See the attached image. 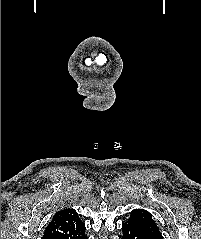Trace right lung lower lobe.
Returning <instances> with one entry per match:
<instances>
[{
	"label": "right lung lower lobe",
	"instance_id": "1",
	"mask_svg": "<svg viewBox=\"0 0 201 239\" xmlns=\"http://www.w3.org/2000/svg\"><path fill=\"white\" fill-rule=\"evenodd\" d=\"M82 239H86V236H85V234H84V236L82 237Z\"/></svg>",
	"mask_w": 201,
	"mask_h": 239
}]
</instances>
